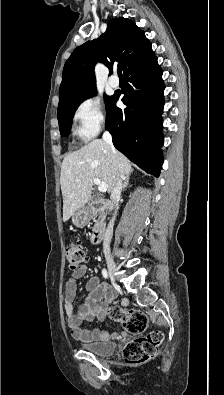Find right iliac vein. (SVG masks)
Listing matches in <instances>:
<instances>
[{
	"instance_id": "63e3f726",
	"label": "right iliac vein",
	"mask_w": 224,
	"mask_h": 395,
	"mask_svg": "<svg viewBox=\"0 0 224 395\" xmlns=\"http://www.w3.org/2000/svg\"><path fill=\"white\" fill-rule=\"evenodd\" d=\"M106 262H107L108 273L111 279L114 280L117 273L116 264L110 256L106 257Z\"/></svg>"
}]
</instances>
